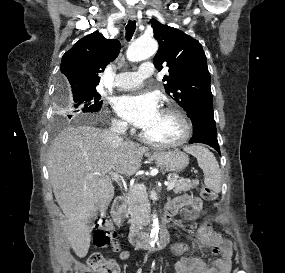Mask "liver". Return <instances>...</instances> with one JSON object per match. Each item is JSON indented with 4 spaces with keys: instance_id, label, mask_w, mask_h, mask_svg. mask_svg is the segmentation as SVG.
Returning a JSON list of instances; mask_svg holds the SVG:
<instances>
[{
    "instance_id": "1",
    "label": "liver",
    "mask_w": 285,
    "mask_h": 273,
    "mask_svg": "<svg viewBox=\"0 0 285 273\" xmlns=\"http://www.w3.org/2000/svg\"><path fill=\"white\" fill-rule=\"evenodd\" d=\"M147 151L130 141L117 144L107 131L87 125L69 126L52 142L48 152L50 181L67 218L66 236L78 257H85L90 247L88 219L98 210L105 213L114 197L107 173L132 176Z\"/></svg>"
}]
</instances>
